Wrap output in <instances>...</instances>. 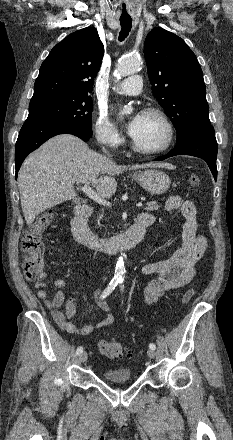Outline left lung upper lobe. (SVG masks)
<instances>
[{"mask_svg":"<svg viewBox=\"0 0 233 440\" xmlns=\"http://www.w3.org/2000/svg\"><path fill=\"white\" fill-rule=\"evenodd\" d=\"M152 92L177 130V142L210 126L206 89L199 62L177 35L160 27L144 44Z\"/></svg>","mask_w":233,"mask_h":440,"instance_id":"5c2ea615","label":"left lung upper lobe"}]
</instances>
